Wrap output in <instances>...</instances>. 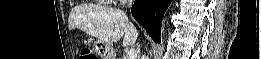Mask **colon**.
Instances as JSON below:
<instances>
[{"instance_id": "colon-1", "label": "colon", "mask_w": 261, "mask_h": 59, "mask_svg": "<svg viewBox=\"0 0 261 59\" xmlns=\"http://www.w3.org/2000/svg\"><path fill=\"white\" fill-rule=\"evenodd\" d=\"M80 58L81 59H95L96 57L91 51L85 50L81 53Z\"/></svg>"}]
</instances>
